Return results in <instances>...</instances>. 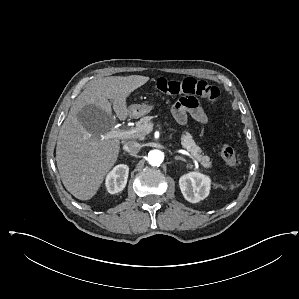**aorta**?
Listing matches in <instances>:
<instances>
[{
  "label": "aorta",
  "mask_w": 299,
  "mask_h": 299,
  "mask_svg": "<svg viewBox=\"0 0 299 299\" xmlns=\"http://www.w3.org/2000/svg\"><path fill=\"white\" fill-rule=\"evenodd\" d=\"M164 155L160 150H151L148 153V162L151 166H160L163 162Z\"/></svg>",
  "instance_id": "aorta-1"
}]
</instances>
